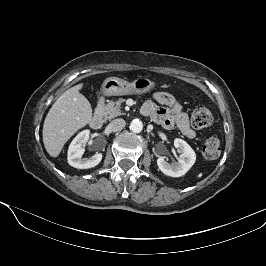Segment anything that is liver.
<instances>
[{
    "label": "liver",
    "mask_w": 266,
    "mask_h": 266,
    "mask_svg": "<svg viewBox=\"0 0 266 266\" xmlns=\"http://www.w3.org/2000/svg\"><path fill=\"white\" fill-rule=\"evenodd\" d=\"M83 84L66 90L50 108L43 125V143L52 157H57L65 143L92 119L90 102L79 91Z\"/></svg>",
    "instance_id": "6515ba94"
}]
</instances>
